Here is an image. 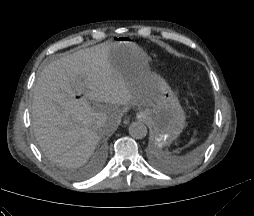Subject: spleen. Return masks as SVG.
I'll return each mask as SVG.
<instances>
[{"label": "spleen", "instance_id": "1", "mask_svg": "<svg viewBox=\"0 0 254 216\" xmlns=\"http://www.w3.org/2000/svg\"><path fill=\"white\" fill-rule=\"evenodd\" d=\"M158 155L161 159H163L168 164H175L177 161L176 156L170 155L167 152H164L162 150H158Z\"/></svg>", "mask_w": 254, "mask_h": 216}]
</instances>
